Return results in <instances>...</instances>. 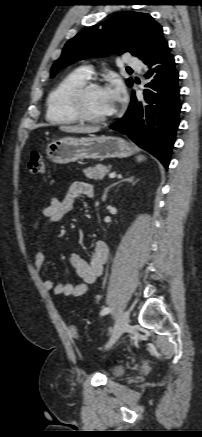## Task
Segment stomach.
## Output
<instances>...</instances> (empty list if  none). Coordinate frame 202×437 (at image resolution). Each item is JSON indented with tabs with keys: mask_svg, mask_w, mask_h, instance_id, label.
Segmentation results:
<instances>
[{
	"mask_svg": "<svg viewBox=\"0 0 202 437\" xmlns=\"http://www.w3.org/2000/svg\"><path fill=\"white\" fill-rule=\"evenodd\" d=\"M133 153L130 144L119 137H65L47 145V157L55 163L67 164L83 159L126 158Z\"/></svg>",
	"mask_w": 202,
	"mask_h": 437,
	"instance_id": "1",
	"label": "stomach"
}]
</instances>
